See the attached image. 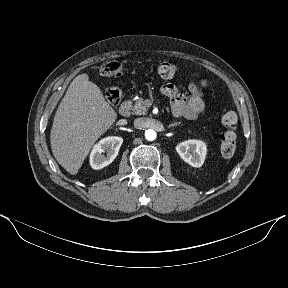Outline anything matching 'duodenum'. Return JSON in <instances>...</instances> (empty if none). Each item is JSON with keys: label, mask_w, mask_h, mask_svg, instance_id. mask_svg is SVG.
<instances>
[{"label": "duodenum", "mask_w": 288, "mask_h": 288, "mask_svg": "<svg viewBox=\"0 0 288 288\" xmlns=\"http://www.w3.org/2000/svg\"><path fill=\"white\" fill-rule=\"evenodd\" d=\"M119 113L120 115L127 117L130 115V104L127 101H124L119 106Z\"/></svg>", "instance_id": "obj_1"}]
</instances>
